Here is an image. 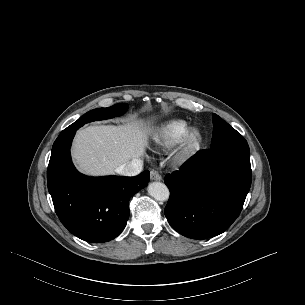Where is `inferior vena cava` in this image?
<instances>
[{"mask_svg": "<svg viewBox=\"0 0 305 305\" xmlns=\"http://www.w3.org/2000/svg\"><path fill=\"white\" fill-rule=\"evenodd\" d=\"M142 167V160L132 159L131 161L118 166L115 169V172L123 176H136L142 171Z\"/></svg>", "mask_w": 305, "mask_h": 305, "instance_id": "602c4592", "label": "inferior vena cava"}]
</instances>
